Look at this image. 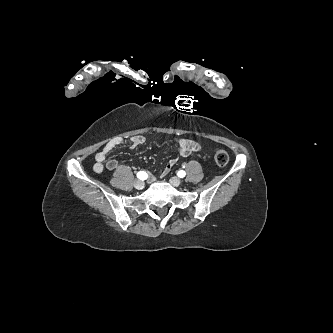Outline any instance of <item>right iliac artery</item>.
I'll list each match as a JSON object with an SVG mask.
<instances>
[{
	"mask_svg": "<svg viewBox=\"0 0 333 333\" xmlns=\"http://www.w3.org/2000/svg\"><path fill=\"white\" fill-rule=\"evenodd\" d=\"M137 177L140 179V180H145L147 178V173L144 172V171H140L137 173Z\"/></svg>",
	"mask_w": 333,
	"mask_h": 333,
	"instance_id": "1",
	"label": "right iliac artery"
}]
</instances>
